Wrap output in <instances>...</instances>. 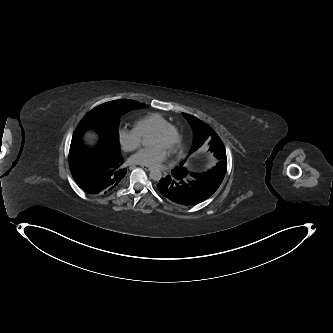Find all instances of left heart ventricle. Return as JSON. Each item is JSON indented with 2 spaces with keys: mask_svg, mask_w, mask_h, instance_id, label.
I'll return each mask as SVG.
<instances>
[{
  "mask_svg": "<svg viewBox=\"0 0 333 333\" xmlns=\"http://www.w3.org/2000/svg\"><path fill=\"white\" fill-rule=\"evenodd\" d=\"M168 143H169L168 137H166L164 135H160V134H155V133L151 134L148 137V141H147V144L149 146L160 147L166 151L168 148Z\"/></svg>",
  "mask_w": 333,
  "mask_h": 333,
  "instance_id": "left-heart-ventricle-1",
  "label": "left heart ventricle"
}]
</instances>
